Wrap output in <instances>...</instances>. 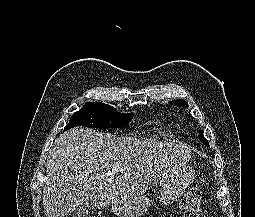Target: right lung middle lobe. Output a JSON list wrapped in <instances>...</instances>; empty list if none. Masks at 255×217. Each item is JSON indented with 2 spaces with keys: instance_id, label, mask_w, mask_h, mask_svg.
<instances>
[{
  "instance_id": "dd1d6c3e",
  "label": "right lung middle lobe",
  "mask_w": 255,
  "mask_h": 217,
  "mask_svg": "<svg viewBox=\"0 0 255 217\" xmlns=\"http://www.w3.org/2000/svg\"><path fill=\"white\" fill-rule=\"evenodd\" d=\"M132 115L120 113L108 104L87 102L81 110L73 114L65 130L75 126L100 129L123 127L131 121Z\"/></svg>"
}]
</instances>
